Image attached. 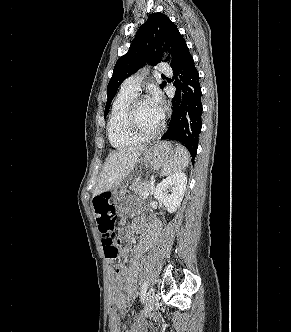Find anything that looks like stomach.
<instances>
[{"mask_svg": "<svg viewBox=\"0 0 291 332\" xmlns=\"http://www.w3.org/2000/svg\"><path fill=\"white\" fill-rule=\"evenodd\" d=\"M176 151L177 149L169 142H155L142 152L139 162L142 166L159 170L164 168L176 156ZM130 201L131 197L127 195L124 188L114 191L113 203L118 211H123L128 207Z\"/></svg>", "mask_w": 291, "mask_h": 332, "instance_id": "0dacf381", "label": "stomach"}]
</instances>
